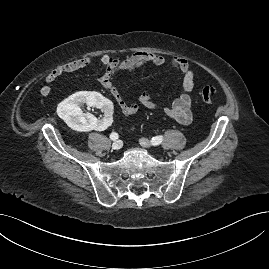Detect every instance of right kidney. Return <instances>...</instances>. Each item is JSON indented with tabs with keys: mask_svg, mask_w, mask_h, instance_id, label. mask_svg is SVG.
Here are the masks:
<instances>
[{
	"mask_svg": "<svg viewBox=\"0 0 269 269\" xmlns=\"http://www.w3.org/2000/svg\"><path fill=\"white\" fill-rule=\"evenodd\" d=\"M86 103L88 107L104 110L97 119L91 113H83L80 106ZM112 102L97 92H77L58 105L57 112L66 124L74 130L100 132L112 125Z\"/></svg>",
	"mask_w": 269,
	"mask_h": 269,
	"instance_id": "right-kidney-1",
	"label": "right kidney"
}]
</instances>
